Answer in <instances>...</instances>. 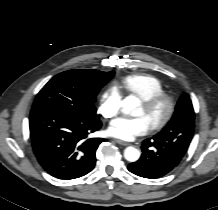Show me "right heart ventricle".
Instances as JSON below:
<instances>
[{
    "label": "right heart ventricle",
    "instance_id": "obj_1",
    "mask_svg": "<svg viewBox=\"0 0 218 210\" xmlns=\"http://www.w3.org/2000/svg\"><path fill=\"white\" fill-rule=\"evenodd\" d=\"M116 88L131 93L140 99H145L164 92V87L160 80L153 75L145 73L123 77L116 84Z\"/></svg>",
    "mask_w": 218,
    "mask_h": 210
}]
</instances>
